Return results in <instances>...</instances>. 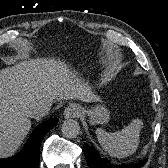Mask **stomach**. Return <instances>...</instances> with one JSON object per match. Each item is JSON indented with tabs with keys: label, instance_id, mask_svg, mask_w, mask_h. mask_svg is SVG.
Here are the masks:
<instances>
[{
	"label": "stomach",
	"instance_id": "1",
	"mask_svg": "<svg viewBox=\"0 0 168 168\" xmlns=\"http://www.w3.org/2000/svg\"><path fill=\"white\" fill-rule=\"evenodd\" d=\"M86 114L89 116V122L92 125L107 123L110 116L107 108L102 105H97L87 110Z\"/></svg>",
	"mask_w": 168,
	"mask_h": 168
}]
</instances>
